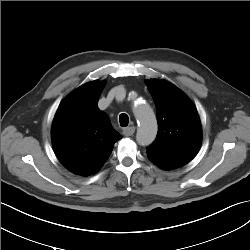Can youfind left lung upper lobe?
<instances>
[{
	"label": "left lung upper lobe",
	"instance_id": "5c2ea615",
	"mask_svg": "<svg viewBox=\"0 0 250 250\" xmlns=\"http://www.w3.org/2000/svg\"><path fill=\"white\" fill-rule=\"evenodd\" d=\"M157 109L158 134L147 153L190 161L197 154L202 130L197 110L176 86L162 80L147 82Z\"/></svg>",
	"mask_w": 250,
	"mask_h": 250
}]
</instances>
